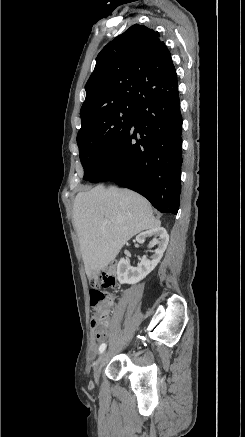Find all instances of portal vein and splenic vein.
<instances>
[{"label":"portal vein and splenic vein","mask_w":245,"mask_h":437,"mask_svg":"<svg viewBox=\"0 0 245 437\" xmlns=\"http://www.w3.org/2000/svg\"><path fill=\"white\" fill-rule=\"evenodd\" d=\"M105 222H106V223H109L110 221H109V220H106Z\"/></svg>","instance_id":"obj_1"}]
</instances>
